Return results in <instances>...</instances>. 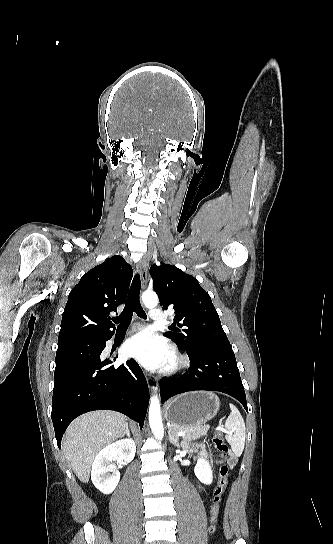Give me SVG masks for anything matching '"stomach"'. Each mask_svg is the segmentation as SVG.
Listing matches in <instances>:
<instances>
[{"instance_id": "stomach-1", "label": "stomach", "mask_w": 333, "mask_h": 544, "mask_svg": "<svg viewBox=\"0 0 333 544\" xmlns=\"http://www.w3.org/2000/svg\"><path fill=\"white\" fill-rule=\"evenodd\" d=\"M220 407L219 397L212 392H189L177 396L165 407L168 422L180 426H197L211 420Z\"/></svg>"}]
</instances>
